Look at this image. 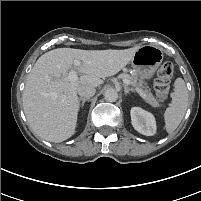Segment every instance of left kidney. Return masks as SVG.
<instances>
[{
  "mask_svg": "<svg viewBox=\"0 0 201 201\" xmlns=\"http://www.w3.org/2000/svg\"><path fill=\"white\" fill-rule=\"evenodd\" d=\"M131 122L136 131L146 136H153L156 133V121L152 113L141 107H132Z\"/></svg>",
  "mask_w": 201,
  "mask_h": 201,
  "instance_id": "5707ae66",
  "label": "left kidney"
}]
</instances>
